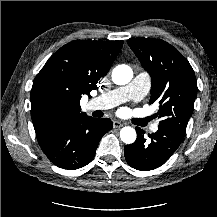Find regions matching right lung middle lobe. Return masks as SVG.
Masks as SVG:
<instances>
[{"mask_svg": "<svg viewBox=\"0 0 217 217\" xmlns=\"http://www.w3.org/2000/svg\"><path fill=\"white\" fill-rule=\"evenodd\" d=\"M35 110L42 122L54 123L64 114L65 106L54 90L45 89L36 102Z\"/></svg>", "mask_w": 217, "mask_h": 217, "instance_id": "obj_1", "label": "right lung middle lobe"}]
</instances>
